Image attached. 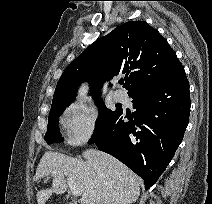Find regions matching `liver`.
Returning <instances> with one entry per match:
<instances>
[{
    "mask_svg": "<svg viewBox=\"0 0 212 204\" xmlns=\"http://www.w3.org/2000/svg\"><path fill=\"white\" fill-rule=\"evenodd\" d=\"M86 161L47 151L42 156L34 181L52 174V187L37 191L38 204H45L52 193L63 194L66 177L82 191L81 204H132L140 196L137 176L116 158L96 149L83 152Z\"/></svg>",
    "mask_w": 212,
    "mask_h": 204,
    "instance_id": "obj_1",
    "label": "liver"
}]
</instances>
